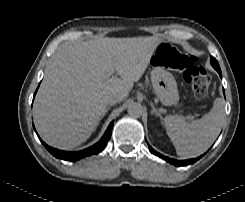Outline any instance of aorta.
Masks as SVG:
<instances>
[{
	"label": "aorta",
	"instance_id": "obj_1",
	"mask_svg": "<svg viewBox=\"0 0 245 202\" xmlns=\"http://www.w3.org/2000/svg\"><path fill=\"white\" fill-rule=\"evenodd\" d=\"M128 114L134 117H140L143 114V106L138 102H131L127 108Z\"/></svg>",
	"mask_w": 245,
	"mask_h": 202
}]
</instances>
